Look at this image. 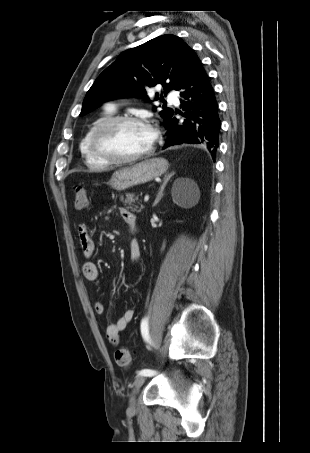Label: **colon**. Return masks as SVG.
Here are the masks:
<instances>
[{"label":"colon","instance_id":"5ec220e1","mask_svg":"<svg viewBox=\"0 0 310 453\" xmlns=\"http://www.w3.org/2000/svg\"><path fill=\"white\" fill-rule=\"evenodd\" d=\"M74 203L77 209H84L88 206V195L84 187L74 188ZM116 363L123 368L128 367L132 362V354L129 349L121 348L115 352Z\"/></svg>","mask_w":310,"mask_h":453}]
</instances>
